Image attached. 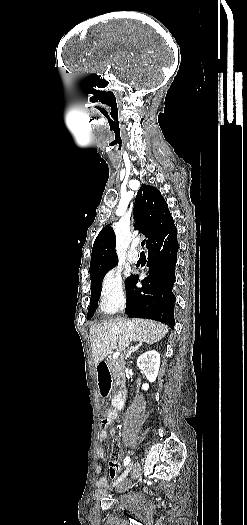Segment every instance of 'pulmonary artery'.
Here are the masks:
<instances>
[{"mask_svg": "<svg viewBox=\"0 0 247 525\" xmlns=\"http://www.w3.org/2000/svg\"><path fill=\"white\" fill-rule=\"evenodd\" d=\"M125 254L128 257V261H138L139 259L138 252H136L132 247L127 248Z\"/></svg>", "mask_w": 247, "mask_h": 525, "instance_id": "1", "label": "pulmonary artery"}]
</instances>
